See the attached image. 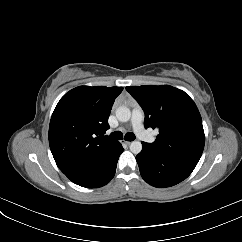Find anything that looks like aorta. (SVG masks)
I'll return each mask as SVG.
<instances>
[{"mask_svg":"<svg viewBox=\"0 0 242 242\" xmlns=\"http://www.w3.org/2000/svg\"><path fill=\"white\" fill-rule=\"evenodd\" d=\"M116 117L121 122H127L131 118V111L128 107L121 106L116 109ZM142 150V144L140 141H133L130 144V151L134 154L140 153Z\"/></svg>","mask_w":242,"mask_h":242,"instance_id":"762f6f07","label":"aorta"}]
</instances>
